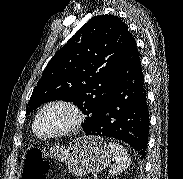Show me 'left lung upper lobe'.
<instances>
[{
    "label": "left lung upper lobe",
    "instance_id": "left-lung-upper-lobe-1",
    "mask_svg": "<svg viewBox=\"0 0 183 179\" xmlns=\"http://www.w3.org/2000/svg\"><path fill=\"white\" fill-rule=\"evenodd\" d=\"M128 34L116 16L91 18L50 60L26 112L49 101H71L87 115L83 130L88 133L106 103Z\"/></svg>",
    "mask_w": 183,
    "mask_h": 179
}]
</instances>
